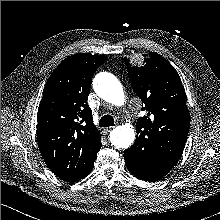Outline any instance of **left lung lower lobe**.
I'll return each mask as SVG.
<instances>
[{
  "instance_id": "obj_1",
  "label": "left lung lower lobe",
  "mask_w": 220,
  "mask_h": 220,
  "mask_svg": "<svg viewBox=\"0 0 220 220\" xmlns=\"http://www.w3.org/2000/svg\"><path fill=\"white\" fill-rule=\"evenodd\" d=\"M124 159L128 170L134 176L148 182L161 179L175 166L164 158L141 154L134 144L124 151Z\"/></svg>"
}]
</instances>
